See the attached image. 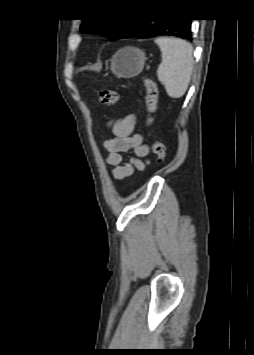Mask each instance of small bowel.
<instances>
[{"instance_id":"1","label":"small bowel","mask_w":254,"mask_h":355,"mask_svg":"<svg viewBox=\"0 0 254 355\" xmlns=\"http://www.w3.org/2000/svg\"><path fill=\"white\" fill-rule=\"evenodd\" d=\"M136 115L129 114L122 119L109 121L107 126L114 137L104 141L108 151L107 163L113 166V176L118 180L128 179L135 169L145 170L149 161V146L143 137L135 133ZM132 152L133 156L125 159L124 154Z\"/></svg>"}]
</instances>
